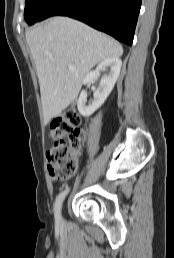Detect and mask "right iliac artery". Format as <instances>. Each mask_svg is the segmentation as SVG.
Masks as SVG:
<instances>
[{
	"mask_svg": "<svg viewBox=\"0 0 174 258\" xmlns=\"http://www.w3.org/2000/svg\"><path fill=\"white\" fill-rule=\"evenodd\" d=\"M68 192H69V188L67 187L56 198V201L54 204V210H55V219H56L57 223H59L61 221V215H60L61 205Z\"/></svg>",
	"mask_w": 174,
	"mask_h": 258,
	"instance_id": "obj_1",
	"label": "right iliac artery"
}]
</instances>
